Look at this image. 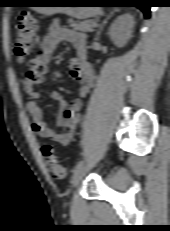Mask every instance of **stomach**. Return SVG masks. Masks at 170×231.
I'll return each instance as SVG.
<instances>
[{
  "instance_id": "obj_1",
  "label": "stomach",
  "mask_w": 170,
  "mask_h": 231,
  "mask_svg": "<svg viewBox=\"0 0 170 231\" xmlns=\"http://www.w3.org/2000/svg\"><path fill=\"white\" fill-rule=\"evenodd\" d=\"M75 1L68 0H42L38 1L40 4H72L69 6H60V7H32L39 13L44 15H53L55 13H64L78 19H86L93 16L96 13V10L90 7H79L78 4H73Z\"/></svg>"
}]
</instances>
